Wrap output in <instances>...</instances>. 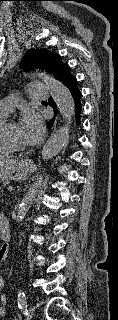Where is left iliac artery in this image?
<instances>
[{
    "label": "left iliac artery",
    "mask_w": 118,
    "mask_h": 320,
    "mask_svg": "<svg viewBox=\"0 0 118 320\" xmlns=\"http://www.w3.org/2000/svg\"><path fill=\"white\" fill-rule=\"evenodd\" d=\"M18 307L21 310L27 309V298H26L25 292L21 289H19L18 291Z\"/></svg>",
    "instance_id": "44dca946"
}]
</instances>
